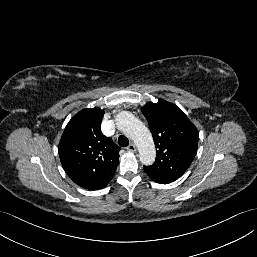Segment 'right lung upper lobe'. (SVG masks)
Returning <instances> with one entry per match:
<instances>
[{
	"mask_svg": "<svg viewBox=\"0 0 257 257\" xmlns=\"http://www.w3.org/2000/svg\"><path fill=\"white\" fill-rule=\"evenodd\" d=\"M104 110L84 109L71 118L58 152L67 175L88 190L104 188L118 164L120 147L101 132Z\"/></svg>",
	"mask_w": 257,
	"mask_h": 257,
	"instance_id": "cb5924a9",
	"label": "right lung upper lobe"
}]
</instances>
